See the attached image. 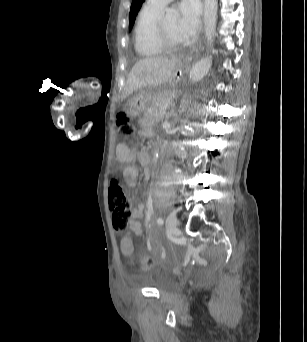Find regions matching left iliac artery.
Instances as JSON below:
<instances>
[{
  "mask_svg": "<svg viewBox=\"0 0 307 342\" xmlns=\"http://www.w3.org/2000/svg\"><path fill=\"white\" fill-rule=\"evenodd\" d=\"M157 223H158L159 225H163L164 221H163L162 218H158V219H157Z\"/></svg>",
  "mask_w": 307,
  "mask_h": 342,
  "instance_id": "left-iliac-artery-1",
  "label": "left iliac artery"
}]
</instances>
